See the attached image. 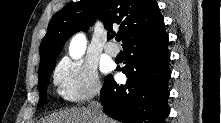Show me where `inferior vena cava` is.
Returning <instances> with one entry per match:
<instances>
[{"label": "inferior vena cava", "instance_id": "1", "mask_svg": "<svg viewBox=\"0 0 221 123\" xmlns=\"http://www.w3.org/2000/svg\"><path fill=\"white\" fill-rule=\"evenodd\" d=\"M89 110L92 114L93 123H102L103 121V113H102V105L97 101H92Z\"/></svg>", "mask_w": 221, "mask_h": 123}]
</instances>
